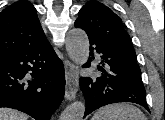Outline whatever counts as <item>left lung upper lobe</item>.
Returning a JSON list of instances; mask_svg holds the SVG:
<instances>
[{
  "instance_id": "left-lung-upper-lobe-1",
  "label": "left lung upper lobe",
  "mask_w": 165,
  "mask_h": 120,
  "mask_svg": "<svg viewBox=\"0 0 165 120\" xmlns=\"http://www.w3.org/2000/svg\"><path fill=\"white\" fill-rule=\"evenodd\" d=\"M75 25L88 36L113 49L124 61L140 70L130 36L125 31L121 18L98 1H89L79 11Z\"/></svg>"
}]
</instances>
